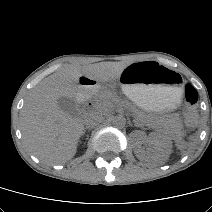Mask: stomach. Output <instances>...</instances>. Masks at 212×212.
<instances>
[{"instance_id": "stomach-1", "label": "stomach", "mask_w": 212, "mask_h": 212, "mask_svg": "<svg viewBox=\"0 0 212 212\" xmlns=\"http://www.w3.org/2000/svg\"><path fill=\"white\" fill-rule=\"evenodd\" d=\"M123 93L139 108L158 111L176 107L182 97L175 72L157 62H141L125 67L119 77Z\"/></svg>"}]
</instances>
